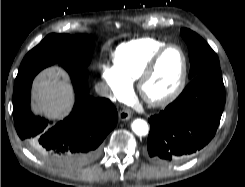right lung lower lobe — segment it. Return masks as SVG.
Instances as JSON below:
<instances>
[{
	"instance_id": "98d812e1",
	"label": "right lung lower lobe",
	"mask_w": 245,
	"mask_h": 187,
	"mask_svg": "<svg viewBox=\"0 0 245 187\" xmlns=\"http://www.w3.org/2000/svg\"><path fill=\"white\" fill-rule=\"evenodd\" d=\"M51 64L34 62L20 66L13 90L15 128L44 161L62 168H77L97 158L101 143L117 124L118 113L108 99L89 96L83 67L63 64L71 76L76 103L67 118L47 127V120L32 114L30 98L34 77Z\"/></svg>"
}]
</instances>
